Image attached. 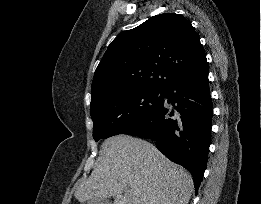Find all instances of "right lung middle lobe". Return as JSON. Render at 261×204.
I'll use <instances>...</instances> for the list:
<instances>
[{"mask_svg": "<svg viewBox=\"0 0 261 204\" xmlns=\"http://www.w3.org/2000/svg\"><path fill=\"white\" fill-rule=\"evenodd\" d=\"M162 99V91L132 89L110 94L90 107L93 138L98 141L118 135L142 119Z\"/></svg>", "mask_w": 261, "mask_h": 204, "instance_id": "right-lung-middle-lobe-1", "label": "right lung middle lobe"}]
</instances>
